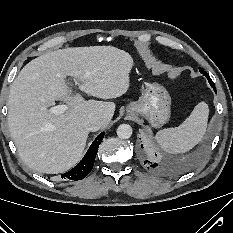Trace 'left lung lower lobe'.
<instances>
[{"label":"left lung lower lobe","mask_w":233,"mask_h":233,"mask_svg":"<svg viewBox=\"0 0 233 233\" xmlns=\"http://www.w3.org/2000/svg\"><path fill=\"white\" fill-rule=\"evenodd\" d=\"M202 74L207 78V80L209 81V84L211 85V87H212V88L214 89V91L216 92L215 85H214V83L212 82V79L209 77V75H208L206 72H203ZM141 146L143 147V145H141ZM144 164L149 165V167H151V168H157V167H158V164H157L156 162L152 163V162H149L148 160H146V161L144 162ZM149 167H148V168H149Z\"/></svg>","instance_id":"1"}]
</instances>
